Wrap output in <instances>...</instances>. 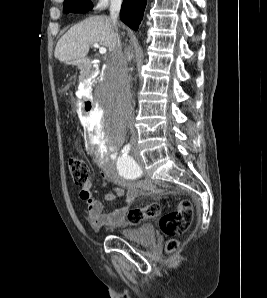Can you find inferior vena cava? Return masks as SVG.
Wrapping results in <instances>:
<instances>
[{
  "instance_id": "obj_1",
  "label": "inferior vena cava",
  "mask_w": 267,
  "mask_h": 298,
  "mask_svg": "<svg viewBox=\"0 0 267 298\" xmlns=\"http://www.w3.org/2000/svg\"><path fill=\"white\" fill-rule=\"evenodd\" d=\"M122 0H111L110 19L116 28ZM108 70L114 75L116 80V110L121 118L133 128V106L130 82L128 77L127 56L123 54L119 38L108 61Z\"/></svg>"
}]
</instances>
